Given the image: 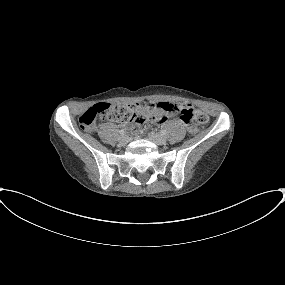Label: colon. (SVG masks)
Masks as SVG:
<instances>
[{"mask_svg": "<svg viewBox=\"0 0 285 285\" xmlns=\"http://www.w3.org/2000/svg\"><path fill=\"white\" fill-rule=\"evenodd\" d=\"M153 107V104L113 105L110 103H98L88 108L80 116V125L85 131H93L100 120L134 123L141 116L149 114ZM170 111L178 114L188 124H205L208 121L207 114L193 108L187 102L173 104L170 107Z\"/></svg>", "mask_w": 285, "mask_h": 285, "instance_id": "colon-1", "label": "colon"}]
</instances>
